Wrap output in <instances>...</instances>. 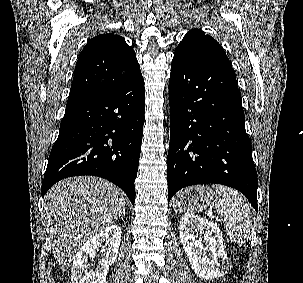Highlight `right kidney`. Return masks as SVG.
Segmentation results:
<instances>
[{"mask_svg": "<svg viewBox=\"0 0 303 283\" xmlns=\"http://www.w3.org/2000/svg\"><path fill=\"white\" fill-rule=\"evenodd\" d=\"M121 241V229L111 225L88 239L78 250L72 264V283H106L109 266L112 265L118 254ZM101 249V259L96 268L90 269L89 258L95 256L96 250Z\"/></svg>", "mask_w": 303, "mask_h": 283, "instance_id": "right-kidney-1", "label": "right kidney"}]
</instances>
